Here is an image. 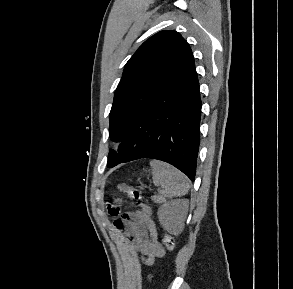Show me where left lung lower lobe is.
I'll return each mask as SVG.
<instances>
[{
  "label": "left lung lower lobe",
  "instance_id": "obj_1",
  "mask_svg": "<svg viewBox=\"0 0 293 289\" xmlns=\"http://www.w3.org/2000/svg\"><path fill=\"white\" fill-rule=\"evenodd\" d=\"M200 117L201 99L194 65L133 123L119 148L125 155L124 162L140 158L162 160L194 181Z\"/></svg>",
  "mask_w": 293,
  "mask_h": 289
}]
</instances>
